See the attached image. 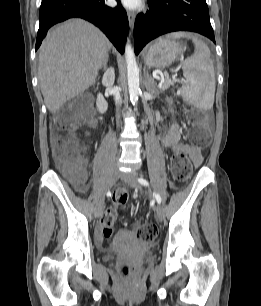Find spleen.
I'll use <instances>...</instances> for the list:
<instances>
[{"mask_svg":"<svg viewBox=\"0 0 261 306\" xmlns=\"http://www.w3.org/2000/svg\"><path fill=\"white\" fill-rule=\"evenodd\" d=\"M167 38L192 39L195 45L193 55L185 59L182 66L187 84L181 87L182 97L200 109H211L215 96V73L209 48L197 37L184 32H174Z\"/></svg>","mask_w":261,"mask_h":306,"instance_id":"3e777b00","label":"spleen"}]
</instances>
